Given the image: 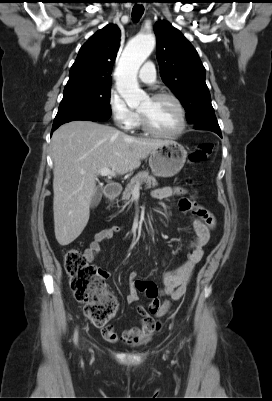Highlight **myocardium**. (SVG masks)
<instances>
[{
    "instance_id": "1",
    "label": "myocardium",
    "mask_w": 272,
    "mask_h": 401,
    "mask_svg": "<svg viewBox=\"0 0 272 401\" xmlns=\"http://www.w3.org/2000/svg\"><path fill=\"white\" fill-rule=\"evenodd\" d=\"M171 99L177 106L179 113H180V125L179 127L172 132H162L154 127L149 123L147 116L139 111V121L142 129L147 132L148 134L157 136V137H163V138H173L181 135L184 130L186 129L187 126V115H186V110L185 107L182 103V101L174 94L169 93V92H157L154 93L150 96L151 100H158V99Z\"/></svg>"
}]
</instances>
